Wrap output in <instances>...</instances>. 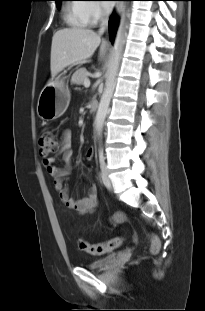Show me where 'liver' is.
Listing matches in <instances>:
<instances>
[{"instance_id":"6515ba94","label":"liver","mask_w":205,"mask_h":311,"mask_svg":"<svg viewBox=\"0 0 205 311\" xmlns=\"http://www.w3.org/2000/svg\"><path fill=\"white\" fill-rule=\"evenodd\" d=\"M101 43V36L86 28H65L54 33L51 45L50 69L55 77L64 68L90 58ZM106 51L102 42L100 57Z\"/></svg>"}]
</instances>
